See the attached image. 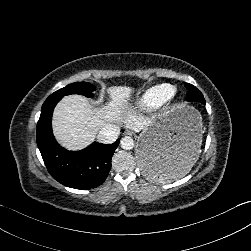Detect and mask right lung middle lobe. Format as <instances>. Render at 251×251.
<instances>
[{"mask_svg": "<svg viewBox=\"0 0 251 251\" xmlns=\"http://www.w3.org/2000/svg\"><path fill=\"white\" fill-rule=\"evenodd\" d=\"M93 91H95V87L93 85L87 82H75L54 92L52 95H50V98H62L63 96L70 94H80L86 97H93Z\"/></svg>", "mask_w": 251, "mask_h": 251, "instance_id": "dd1d6c3e", "label": "right lung middle lobe"}]
</instances>
